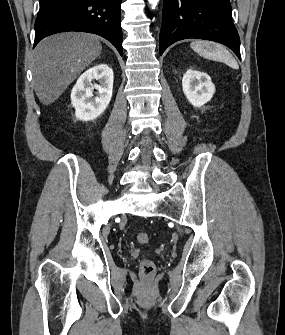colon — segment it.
Wrapping results in <instances>:
<instances>
[{"mask_svg":"<svg viewBox=\"0 0 285 335\" xmlns=\"http://www.w3.org/2000/svg\"><path fill=\"white\" fill-rule=\"evenodd\" d=\"M140 244H147L149 242V235L144 232H139L136 236ZM156 267L150 259H144L140 264V272L144 277H150L155 273Z\"/></svg>","mask_w":285,"mask_h":335,"instance_id":"colon-1","label":"colon"}]
</instances>
